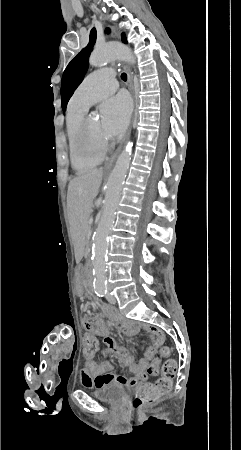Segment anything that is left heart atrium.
Masks as SVG:
<instances>
[{
  "label": "left heart atrium",
  "mask_w": 241,
  "mask_h": 450,
  "mask_svg": "<svg viewBox=\"0 0 241 450\" xmlns=\"http://www.w3.org/2000/svg\"><path fill=\"white\" fill-rule=\"evenodd\" d=\"M105 109L110 114L108 129L111 135L121 136L131 118L132 103L129 96L125 93L118 94L105 104Z\"/></svg>",
  "instance_id": "1"
}]
</instances>
